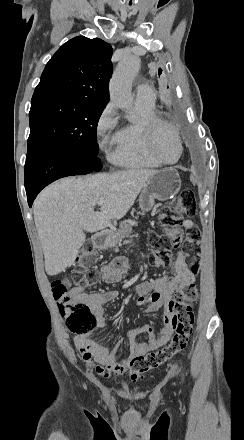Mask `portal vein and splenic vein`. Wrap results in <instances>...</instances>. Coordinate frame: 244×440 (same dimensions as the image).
Segmentation results:
<instances>
[{
    "label": "portal vein and splenic vein",
    "instance_id": "18ae733b",
    "mask_svg": "<svg viewBox=\"0 0 244 440\" xmlns=\"http://www.w3.org/2000/svg\"><path fill=\"white\" fill-rule=\"evenodd\" d=\"M96 204H98V206H103L104 198H100V200H98V202H96Z\"/></svg>",
    "mask_w": 244,
    "mask_h": 440
}]
</instances>
